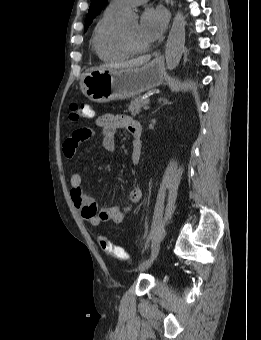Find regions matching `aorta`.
I'll return each instance as SVG.
<instances>
[{
    "label": "aorta",
    "mask_w": 261,
    "mask_h": 340,
    "mask_svg": "<svg viewBox=\"0 0 261 340\" xmlns=\"http://www.w3.org/2000/svg\"><path fill=\"white\" fill-rule=\"evenodd\" d=\"M134 18V15H128L126 20L129 21ZM185 25L183 14L178 11L174 17L165 48V60L168 70L175 69L181 60L185 48Z\"/></svg>",
    "instance_id": "762f6f07"
}]
</instances>
